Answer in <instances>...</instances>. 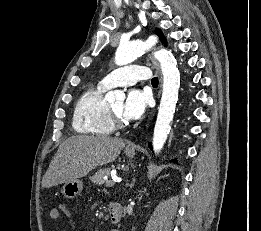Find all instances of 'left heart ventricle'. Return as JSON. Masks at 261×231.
Masks as SVG:
<instances>
[{"label": "left heart ventricle", "instance_id": "1", "mask_svg": "<svg viewBox=\"0 0 261 231\" xmlns=\"http://www.w3.org/2000/svg\"><path fill=\"white\" fill-rule=\"evenodd\" d=\"M123 101H117L115 103L110 104V107L117 113L119 114L121 117H123Z\"/></svg>", "mask_w": 261, "mask_h": 231}]
</instances>
